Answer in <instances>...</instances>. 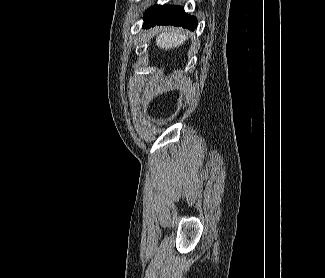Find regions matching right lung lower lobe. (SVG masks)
I'll use <instances>...</instances> for the list:
<instances>
[{"label":"right lung lower lobe","mask_w":325,"mask_h":278,"mask_svg":"<svg viewBox=\"0 0 325 278\" xmlns=\"http://www.w3.org/2000/svg\"><path fill=\"white\" fill-rule=\"evenodd\" d=\"M155 25L182 26L193 31L197 27V19L185 13L181 6H154L144 18V27Z\"/></svg>","instance_id":"obj_1"}]
</instances>
